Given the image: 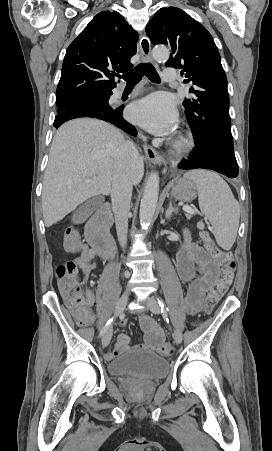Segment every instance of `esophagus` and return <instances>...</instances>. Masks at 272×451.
Masks as SVG:
<instances>
[{"label":"esophagus","instance_id":"1","mask_svg":"<svg viewBox=\"0 0 272 451\" xmlns=\"http://www.w3.org/2000/svg\"><path fill=\"white\" fill-rule=\"evenodd\" d=\"M140 51H141V55H142L141 58L144 62H152L150 40L145 35H143L140 39ZM143 148H144L146 157L152 163H155L157 165H164L166 163L165 158L162 155H160V153H158L150 145L144 144ZM168 171H169L168 168H164L163 173H168Z\"/></svg>","mask_w":272,"mask_h":451}]
</instances>
